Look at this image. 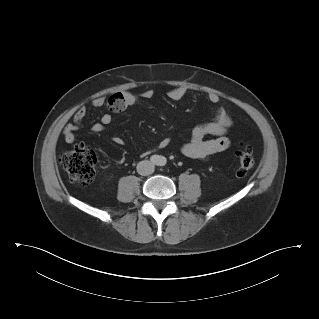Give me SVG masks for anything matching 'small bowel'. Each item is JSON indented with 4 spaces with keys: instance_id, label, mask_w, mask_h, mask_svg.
Wrapping results in <instances>:
<instances>
[{
    "instance_id": "obj_1",
    "label": "small bowel",
    "mask_w": 319,
    "mask_h": 319,
    "mask_svg": "<svg viewBox=\"0 0 319 319\" xmlns=\"http://www.w3.org/2000/svg\"><path fill=\"white\" fill-rule=\"evenodd\" d=\"M187 93L185 87H175L171 89L168 93V96L173 101L181 100ZM154 95L153 91L150 89L144 90L140 96L145 99H150ZM138 95L125 92L121 94V100L119 103L122 105L123 109L133 106L137 100ZM208 100L212 104H217L220 100L219 96L216 93H209ZM92 106L94 108L108 107L111 111H114L111 108L110 100H107L104 96H99L93 99ZM87 114V109L82 106L74 114L73 120L67 123L63 129V138L66 143H73L76 140V133L80 129L82 121L84 120ZM112 121L111 113H104L100 121L93 124L91 130L94 133H101L105 130L106 126L109 125ZM232 125V118L226 108L223 106H218L215 110V115L213 120L197 125L193 128L191 132L190 140L184 143L181 147V152L183 155L195 158V159H205L211 155L224 151L229 146V140L226 136L227 131ZM207 136H213V138L206 139ZM112 141L118 145L123 144V139L119 136H114ZM170 142L167 139L161 140L157 148L165 149L169 146ZM151 150L143 151V155H147Z\"/></svg>"
}]
</instances>
